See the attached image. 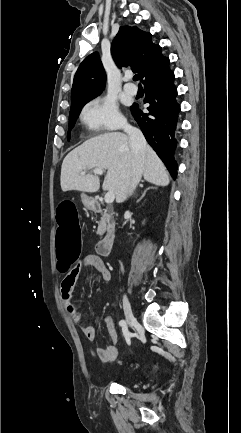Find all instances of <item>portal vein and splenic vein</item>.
<instances>
[{
    "label": "portal vein and splenic vein",
    "mask_w": 241,
    "mask_h": 433,
    "mask_svg": "<svg viewBox=\"0 0 241 433\" xmlns=\"http://www.w3.org/2000/svg\"><path fill=\"white\" fill-rule=\"evenodd\" d=\"M93 173L97 174V175H102L103 174V170L100 169V168H96V169H93ZM81 174L85 175L86 171H82ZM114 199H115V194L113 192L109 191V192L106 193V195H105V202L107 204L113 203Z\"/></svg>",
    "instance_id": "18ae733b"
}]
</instances>
